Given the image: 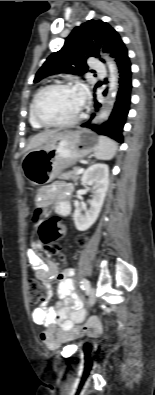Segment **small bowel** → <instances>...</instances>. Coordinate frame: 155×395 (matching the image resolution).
<instances>
[{
	"label": "small bowel",
	"mask_w": 155,
	"mask_h": 395,
	"mask_svg": "<svg viewBox=\"0 0 155 395\" xmlns=\"http://www.w3.org/2000/svg\"><path fill=\"white\" fill-rule=\"evenodd\" d=\"M71 192V185L64 182L47 185L41 191L38 208L47 210L55 207L58 212L64 214L69 210ZM58 224L64 231L65 225L62 222ZM27 259L35 278L41 282L47 292L44 303L36 307L32 313L34 323L45 327L40 334L41 341L49 348H53L79 336L81 332L73 330V326L84 315V312L81 309L79 297L73 291L74 270L61 271L56 262L43 258L33 250L27 251ZM54 281L57 282V294L63 302L47 307L53 295L52 283ZM99 327L98 321L92 320L85 331L96 332Z\"/></svg>",
	"instance_id": "obj_1"
}]
</instances>
